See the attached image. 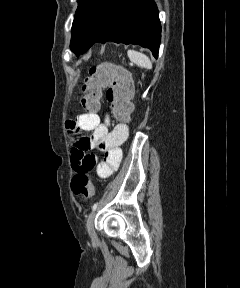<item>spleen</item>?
Segmentation results:
<instances>
[{
  "instance_id": "spleen-1",
  "label": "spleen",
  "mask_w": 240,
  "mask_h": 288,
  "mask_svg": "<svg viewBox=\"0 0 240 288\" xmlns=\"http://www.w3.org/2000/svg\"><path fill=\"white\" fill-rule=\"evenodd\" d=\"M127 54H128L129 59L133 63H135L137 66L143 67L146 69H152V63L149 57H147L145 54L140 53L135 50H129Z\"/></svg>"
}]
</instances>
